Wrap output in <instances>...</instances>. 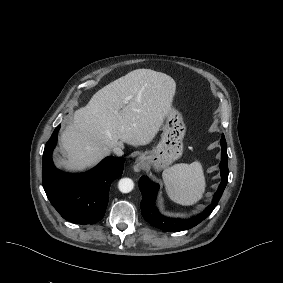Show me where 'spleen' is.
<instances>
[{
	"label": "spleen",
	"instance_id": "3e777b00",
	"mask_svg": "<svg viewBox=\"0 0 283 283\" xmlns=\"http://www.w3.org/2000/svg\"><path fill=\"white\" fill-rule=\"evenodd\" d=\"M169 198L181 205H193L205 191L202 165L198 161L191 164H176L162 174Z\"/></svg>",
	"mask_w": 283,
	"mask_h": 283
}]
</instances>
